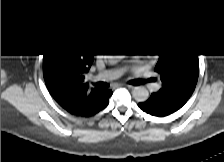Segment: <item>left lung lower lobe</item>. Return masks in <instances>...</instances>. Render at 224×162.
Masks as SVG:
<instances>
[{
	"label": "left lung lower lobe",
	"mask_w": 224,
	"mask_h": 162,
	"mask_svg": "<svg viewBox=\"0 0 224 162\" xmlns=\"http://www.w3.org/2000/svg\"><path fill=\"white\" fill-rule=\"evenodd\" d=\"M187 100L186 98L162 95L157 92L152 93L147 101L139 103L138 106L148 114L162 117L179 110Z\"/></svg>",
	"instance_id": "1"
}]
</instances>
